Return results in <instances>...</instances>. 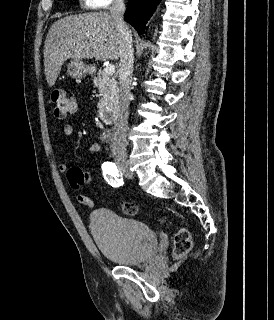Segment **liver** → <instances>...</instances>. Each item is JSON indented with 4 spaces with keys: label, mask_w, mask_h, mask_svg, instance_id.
I'll use <instances>...</instances> for the list:
<instances>
[{
    "label": "liver",
    "mask_w": 274,
    "mask_h": 320,
    "mask_svg": "<svg viewBox=\"0 0 274 320\" xmlns=\"http://www.w3.org/2000/svg\"><path fill=\"white\" fill-rule=\"evenodd\" d=\"M121 42L109 12L66 16L52 24L44 46V68L48 86H54L69 58L74 60H119Z\"/></svg>",
    "instance_id": "6515ba94"
}]
</instances>
